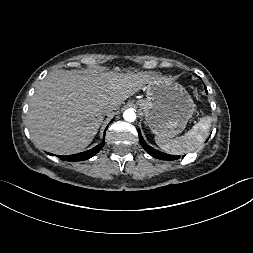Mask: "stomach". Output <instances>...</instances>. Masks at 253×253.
<instances>
[{"label": "stomach", "mask_w": 253, "mask_h": 253, "mask_svg": "<svg viewBox=\"0 0 253 253\" xmlns=\"http://www.w3.org/2000/svg\"><path fill=\"white\" fill-rule=\"evenodd\" d=\"M145 95L136 105L154 134L171 138L185 129L195 104L182 85L168 79L150 80Z\"/></svg>", "instance_id": "obj_1"}]
</instances>
